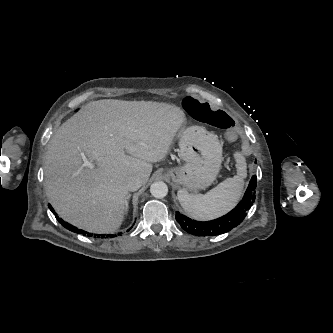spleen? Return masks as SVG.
I'll return each instance as SVG.
<instances>
[{
	"mask_svg": "<svg viewBox=\"0 0 333 333\" xmlns=\"http://www.w3.org/2000/svg\"><path fill=\"white\" fill-rule=\"evenodd\" d=\"M237 175L227 178L206 194H189L184 189L177 193L184 211L194 219L210 220L229 212L239 201L247 176L246 162L242 153L234 154Z\"/></svg>",
	"mask_w": 333,
	"mask_h": 333,
	"instance_id": "spleen-1",
	"label": "spleen"
}]
</instances>
